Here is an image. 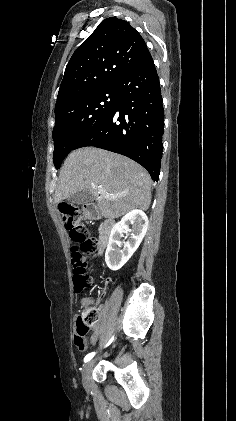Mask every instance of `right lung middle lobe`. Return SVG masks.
<instances>
[{"label":"right lung middle lobe","instance_id":"right-lung-middle-lobe-1","mask_svg":"<svg viewBox=\"0 0 236 421\" xmlns=\"http://www.w3.org/2000/svg\"><path fill=\"white\" fill-rule=\"evenodd\" d=\"M117 88L112 87L70 99L55 109L53 162L59 169L67 154L99 126L116 106Z\"/></svg>","mask_w":236,"mask_h":421}]
</instances>
